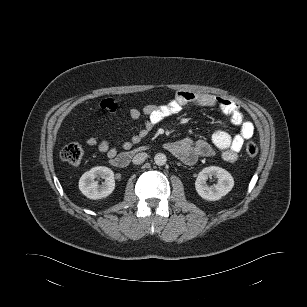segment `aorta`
<instances>
[{
  "label": "aorta",
  "instance_id": "762f6f07",
  "mask_svg": "<svg viewBox=\"0 0 307 307\" xmlns=\"http://www.w3.org/2000/svg\"><path fill=\"white\" fill-rule=\"evenodd\" d=\"M167 161L166 155L163 153H157L154 156V162L158 166H163Z\"/></svg>",
  "mask_w": 307,
  "mask_h": 307
}]
</instances>
